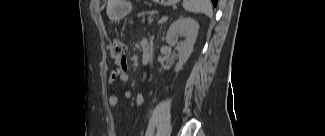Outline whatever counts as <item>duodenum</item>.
Instances as JSON below:
<instances>
[{
	"instance_id": "1",
	"label": "duodenum",
	"mask_w": 325,
	"mask_h": 136,
	"mask_svg": "<svg viewBox=\"0 0 325 136\" xmlns=\"http://www.w3.org/2000/svg\"><path fill=\"white\" fill-rule=\"evenodd\" d=\"M149 57H150L149 46L147 41L145 40L142 43V62L144 65L149 62Z\"/></svg>"
}]
</instances>
